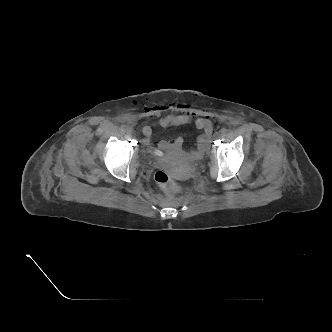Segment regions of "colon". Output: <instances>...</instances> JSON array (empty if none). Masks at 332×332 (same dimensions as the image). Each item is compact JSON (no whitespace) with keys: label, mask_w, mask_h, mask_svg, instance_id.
Returning <instances> with one entry per match:
<instances>
[{"label":"colon","mask_w":332,"mask_h":332,"mask_svg":"<svg viewBox=\"0 0 332 332\" xmlns=\"http://www.w3.org/2000/svg\"><path fill=\"white\" fill-rule=\"evenodd\" d=\"M155 181L167 193H173L178 189L177 182L166 171H157L155 173Z\"/></svg>","instance_id":"obj_1"}]
</instances>
